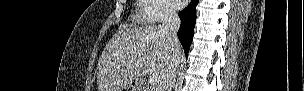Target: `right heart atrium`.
I'll return each mask as SVG.
<instances>
[{
  "label": "right heart atrium",
  "instance_id": "d8ad5b80",
  "mask_svg": "<svg viewBox=\"0 0 304 91\" xmlns=\"http://www.w3.org/2000/svg\"><path fill=\"white\" fill-rule=\"evenodd\" d=\"M142 19L146 22H160L175 15L174 7L168 0H142Z\"/></svg>",
  "mask_w": 304,
  "mask_h": 91
}]
</instances>
